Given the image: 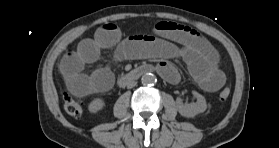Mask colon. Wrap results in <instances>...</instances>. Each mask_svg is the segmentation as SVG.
<instances>
[{"instance_id": "obj_1", "label": "colon", "mask_w": 279, "mask_h": 148, "mask_svg": "<svg viewBox=\"0 0 279 148\" xmlns=\"http://www.w3.org/2000/svg\"><path fill=\"white\" fill-rule=\"evenodd\" d=\"M139 35H143V31H135L131 33L129 36H139ZM230 93H231L230 89L228 87H225L219 93V98L221 100H226L230 96ZM64 107L66 112L73 117H80L83 113L82 102L80 99L76 97L65 95Z\"/></svg>"}]
</instances>
